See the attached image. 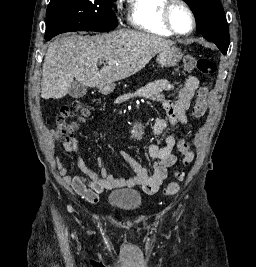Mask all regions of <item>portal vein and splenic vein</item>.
<instances>
[{
	"label": "portal vein and splenic vein",
	"instance_id": "obj_1",
	"mask_svg": "<svg viewBox=\"0 0 256 267\" xmlns=\"http://www.w3.org/2000/svg\"><path fill=\"white\" fill-rule=\"evenodd\" d=\"M100 64H104V62H100ZM109 64H111V62H109Z\"/></svg>",
	"mask_w": 256,
	"mask_h": 267
}]
</instances>
